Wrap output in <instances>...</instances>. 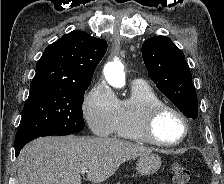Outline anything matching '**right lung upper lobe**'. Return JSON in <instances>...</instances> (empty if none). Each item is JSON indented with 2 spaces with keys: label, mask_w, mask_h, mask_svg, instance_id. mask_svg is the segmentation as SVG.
Segmentation results:
<instances>
[{
  "label": "right lung upper lobe",
  "mask_w": 224,
  "mask_h": 184,
  "mask_svg": "<svg viewBox=\"0 0 224 184\" xmlns=\"http://www.w3.org/2000/svg\"><path fill=\"white\" fill-rule=\"evenodd\" d=\"M107 42L74 30L50 44L36 64L30 88L89 85Z\"/></svg>",
  "instance_id": "obj_1"
}]
</instances>
